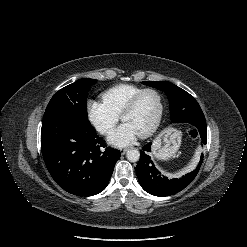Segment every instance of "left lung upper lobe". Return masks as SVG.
<instances>
[{"instance_id":"obj_1","label":"left lung upper lobe","mask_w":247,"mask_h":247,"mask_svg":"<svg viewBox=\"0 0 247 247\" xmlns=\"http://www.w3.org/2000/svg\"><path fill=\"white\" fill-rule=\"evenodd\" d=\"M144 85L162 90L170 102L171 120L174 123H185L194 128L206 122L198 102L185 90L167 81H146Z\"/></svg>"}]
</instances>
